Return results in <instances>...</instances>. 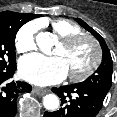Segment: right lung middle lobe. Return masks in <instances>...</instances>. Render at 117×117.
Instances as JSON below:
<instances>
[{"instance_id":"right-lung-middle-lobe-1","label":"right lung middle lobe","mask_w":117,"mask_h":117,"mask_svg":"<svg viewBox=\"0 0 117 117\" xmlns=\"http://www.w3.org/2000/svg\"><path fill=\"white\" fill-rule=\"evenodd\" d=\"M29 19L24 13L4 11L0 13V70L16 65L15 36Z\"/></svg>"}]
</instances>
